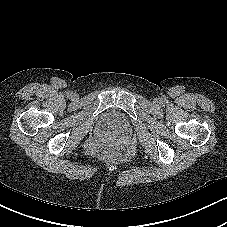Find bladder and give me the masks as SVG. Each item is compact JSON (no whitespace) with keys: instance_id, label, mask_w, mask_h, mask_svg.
Segmentation results:
<instances>
[{"instance_id":"31cf9c89","label":"bladder","mask_w":227,"mask_h":227,"mask_svg":"<svg viewBox=\"0 0 227 227\" xmlns=\"http://www.w3.org/2000/svg\"><path fill=\"white\" fill-rule=\"evenodd\" d=\"M100 127L106 131L126 133L130 128V124L122 113L116 110H109L102 115Z\"/></svg>"}]
</instances>
